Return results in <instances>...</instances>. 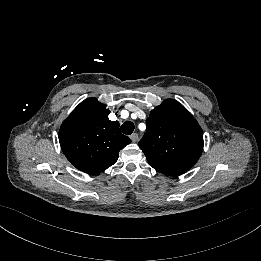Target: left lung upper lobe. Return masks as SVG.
Instances as JSON below:
<instances>
[{"instance_id":"5c2ea615","label":"left lung upper lobe","mask_w":261,"mask_h":261,"mask_svg":"<svg viewBox=\"0 0 261 261\" xmlns=\"http://www.w3.org/2000/svg\"><path fill=\"white\" fill-rule=\"evenodd\" d=\"M139 147L150 166L165 175L177 176L198 161L203 150V133L184 106L167 99L151 111Z\"/></svg>"}]
</instances>
